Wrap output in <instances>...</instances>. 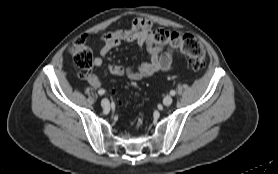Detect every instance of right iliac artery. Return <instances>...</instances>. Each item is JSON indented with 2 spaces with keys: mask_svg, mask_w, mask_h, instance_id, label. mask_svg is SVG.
<instances>
[{
  "mask_svg": "<svg viewBox=\"0 0 278 174\" xmlns=\"http://www.w3.org/2000/svg\"><path fill=\"white\" fill-rule=\"evenodd\" d=\"M98 94H99V95H104V94H105V90H104V89H100V90L98 91Z\"/></svg>",
  "mask_w": 278,
  "mask_h": 174,
  "instance_id": "obj_1",
  "label": "right iliac artery"
}]
</instances>
